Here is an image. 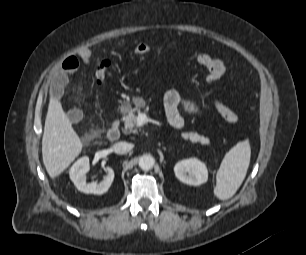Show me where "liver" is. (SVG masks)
I'll list each match as a JSON object with an SVG mask.
<instances>
[{"label":"liver","mask_w":306,"mask_h":255,"mask_svg":"<svg viewBox=\"0 0 306 255\" xmlns=\"http://www.w3.org/2000/svg\"><path fill=\"white\" fill-rule=\"evenodd\" d=\"M83 144L61 102L51 98L42 138V158L51 178L59 176L81 153Z\"/></svg>","instance_id":"6515ba94"}]
</instances>
